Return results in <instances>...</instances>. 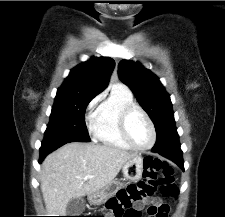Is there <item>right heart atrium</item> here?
<instances>
[{
  "mask_svg": "<svg viewBox=\"0 0 225 217\" xmlns=\"http://www.w3.org/2000/svg\"><path fill=\"white\" fill-rule=\"evenodd\" d=\"M100 99H101V95H98L94 99H92L87 106V112L91 113L94 110V108L96 107V105L98 104V102L100 101ZM88 127L91 131H94V127H95V117L94 116H89Z\"/></svg>",
  "mask_w": 225,
  "mask_h": 217,
  "instance_id": "right-heart-atrium-1",
  "label": "right heart atrium"
}]
</instances>
